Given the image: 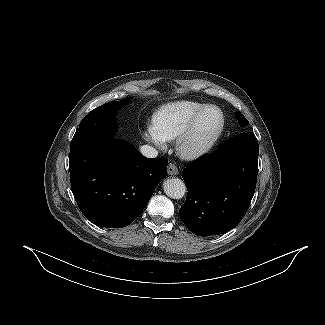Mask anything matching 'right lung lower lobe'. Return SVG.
<instances>
[{
	"instance_id": "1",
	"label": "right lung lower lobe",
	"mask_w": 325,
	"mask_h": 325,
	"mask_svg": "<svg viewBox=\"0 0 325 325\" xmlns=\"http://www.w3.org/2000/svg\"><path fill=\"white\" fill-rule=\"evenodd\" d=\"M167 165L164 158H145L112 136L75 135L69 157L72 192L89 221L122 228L141 214Z\"/></svg>"
}]
</instances>
